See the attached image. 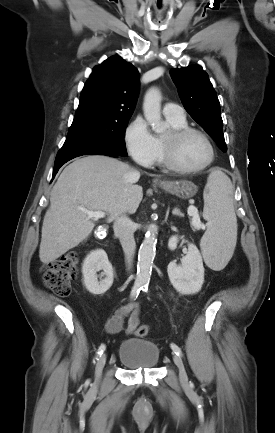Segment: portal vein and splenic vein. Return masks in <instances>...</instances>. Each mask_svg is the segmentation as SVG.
Here are the masks:
<instances>
[{
  "label": "portal vein and splenic vein",
  "mask_w": 275,
  "mask_h": 433,
  "mask_svg": "<svg viewBox=\"0 0 275 433\" xmlns=\"http://www.w3.org/2000/svg\"><path fill=\"white\" fill-rule=\"evenodd\" d=\"M82 211L85 212L89 218H94L95 220L100 219V218H104L106 215V213L103 211H89L86 209H82ZM187 213L190 217H192V225L196 229L203 228V225L200 221V217H199V213H198L197 208H195L194 206H190L188 208Z\"/></svg>",
  "instance_id": "obj_1"
}]
</instances>
